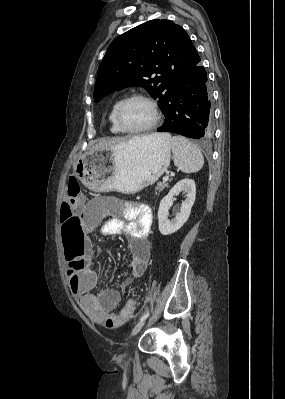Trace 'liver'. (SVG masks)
<instances>
[{
	"label": "liver",
	"instance_id": "liver-1",
	"mask_svg": "<svg viewBox=\"0 0 285 399\" xmlns=\"http://www.w3.org/2000/svg\"><path fill=\"white\" fill-rule=\"evenodd\" d=\"M158 134H151V135H147V136H140V137H134L132 139L129 138H111V139H103L102 141L96 143L92 149V150H96V149H114L115 147H117L118 145L125 143L127 141L133 140V139H139V138H155Z\"/></svg>",
	"mask_w": 285,
	"mask_h": 399
}]
</instances>
